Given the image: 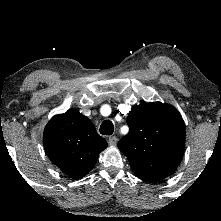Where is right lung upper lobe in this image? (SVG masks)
I'll return each instance as SVG.
<instances>
[{
    "label": "right lung upper lobe",
    "mask_w": 221,
    "mask_h": 221,
    "mask_svg": "<svg viewBox=\"0 0 221 221\" xmlns=\"http://www.w3.org/2000/svg\"><path fill=\"white\" fill-rule=\"evenodd\" d=\"M43 141L49 159L75 179L88 174L108 146L92 122L75 110L54 116L45 127Z\"/></svg>",
    "instance_id": "1"
}]
</instances>
